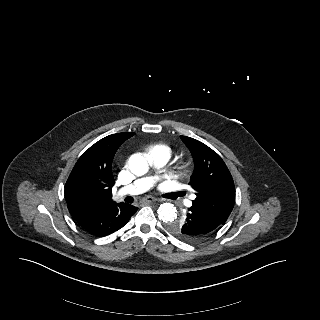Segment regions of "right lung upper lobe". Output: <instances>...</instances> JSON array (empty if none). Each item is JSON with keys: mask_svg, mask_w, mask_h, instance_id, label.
I'll use <instances>...</instances> for the list:
<instances>
[{"mask_svg": "<svg viewBox=\"0 0 320 320\" xmlns=\"http://www.w3.org/2000/svg\"><path fill=\"white\" fill-rule=\"evenodd\" d=\"M135 133L112 134L93 144L79 158L65 186V199L73 218L113 203V157Z\"/></svg>", "mask_w": 320, "mask_h": 320, "instance_id": "cb5924a9", "label": "right lung upper lobe"}]
</instances>
